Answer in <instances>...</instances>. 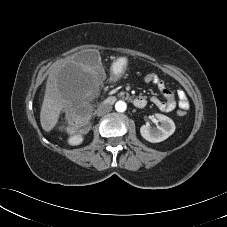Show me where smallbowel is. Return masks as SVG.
<instances>
[{
    "instance_id": "c3829d8e",
    "label": "small bowel",
    "mask_w": 227,
    "mask_h": 227,
    "mask_svg": "<svg viewBox=\"0 0 227 227\" xmlns=\"http://www.w3.org/2000/svg\"><path fill=\"white\" fill-rule=\"evenodd\" d=\"M154 85L157 86V88L160 90L165 100L162 101L158 97L153 96L151 97V102L163 112L173 111L177 106V102L173 92L166 87L164 81L160 77H157L156 81L154 82ZM177 96L178 107L182 110H187L189 108V102L185 92L179 90L177 92Z\"/></svg>"
}]
</instances>
